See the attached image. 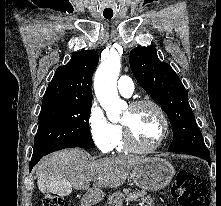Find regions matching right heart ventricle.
<instances>
[{
    "mask_svg": "<svg viewBox=\"0 0 221 206\" xmlns=\"http://www.w3.org/2000/svg\"><path fill=\"white\" fill-rule=\"evenodd\" d=\"M114 148H116L119 152L126 150L122 129L120 127H118V137Z\"/></svg>",
    "mask_w": 221,
    "mask_h": 206,
    "instance_id": "obj_1",
    "label": "right heart ventricle"
}]
</instances>
